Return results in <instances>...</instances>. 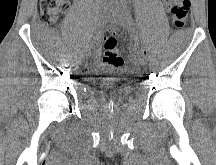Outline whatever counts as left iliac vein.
I'll list each match as a JSON object with an SVG mask.
<instances>
[{
    "instance_id": "obj_1",
    "label": "left iliac vein",
    "mask_w": 216,
    "mask_h": 165,
    "mask_svg": "<svg viewBox=\"0 0 216 165\" xmlns=\"http://www.w3.org/2000/svg\"><path fill=\"white\" fill-rule=\"evenodd\" d=\"M109 19L111 22L116 23L120 25L121 27L127 29L130 32V34L134 37V39L136 40V34L130 27L129 22L125 16V13H123L120 9H116L115 12L111 13L109 15ZM135 57L140 65H145L146 55L144 53V50L141 47H138L136 49Z\"/></svg>"
}]
</instances>
